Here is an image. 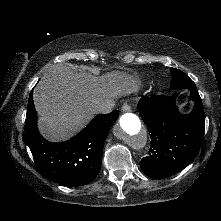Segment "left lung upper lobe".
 Here are the masks:
<instances>
[{
    "label": "left lung upper lobe",
    "instance_id": "5c2ea615",
    "mask_svg": "<svg viewBox=\"0 0 221 221\" xmlns=\"http://www.w3.org/2000/svg\"><path fill=\"white\" fill-rule=\"evenodd\" d=\"M172 79L170 89H188L190 86L195 85L194 82L181 70L171 68Z\"/></svg>",
    "mask_w": 221,
    "mask_h": 221
}]
</instances>
